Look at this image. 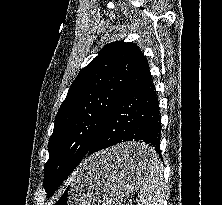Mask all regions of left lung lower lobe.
<instances>
[{
  "label": "left lung lower lobe",
  "mask_w": 222,
  "mask_h": 205,
  "mask_svg": "<svg viewBox=\"0 0 222 205\" xmlns=\"http://www.w3.org/2000/svg\"><path fill=\"white\" fill-rule=\"evenodd\" d=\"M160 128L159 102L148 62L143 56L127 86L108 113L89 151L85 155L73 154L69 151L57 160L56 167L62 176L48 197L53 195L85 156L121 142L141 141L152 146V152L137 150L123 156V161L131 165L150 164L155 151L160 155Z\"/></svg>",
  "instance_id": "left-lung-lower-lobe-1"
}]
</instances>
